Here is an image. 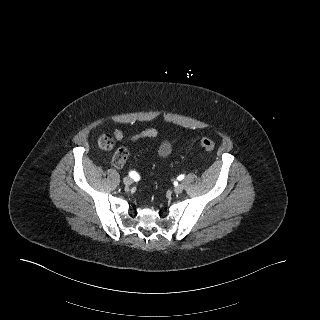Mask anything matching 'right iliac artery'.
Wrapping results in <instances>:
<instances>
[{
  "label": "right iliac artery",
  "instance_id": "right-iliac-artery-1",
  "mask_svg": "<svg viewBox=\"0 0 320 320\" xmlns=\"http://www.w3.org/2000/svg\"><path fill=\"white\" fill-rule=\"evenodd\" d=\"M129 176H130L131 178H136V177H137V173L134 172V171H132V172L129 173Z\"/></svg>",
  "mask_w": 320,
  "mask_h": 320
}]
</instances>
